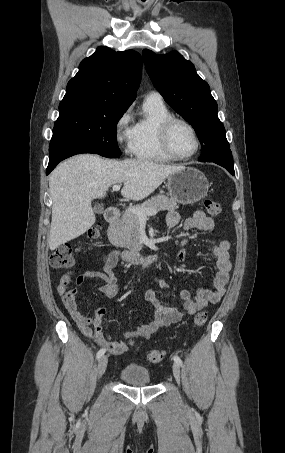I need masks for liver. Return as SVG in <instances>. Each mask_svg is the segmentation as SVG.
I'll use <instances>...</instances> for the list:
<instances>
[{
	"label": "liver",
	"instance_id": "1",
	"mask_svg": "<svg viewBox=\"0 0 285 453\" xmlns=\"http://www.w3.org/2000/svg\"><path fill=\"white\" fill-rule=\"evenodd\" d=\"M181 167L140 159L117 161L93 154L77 155L60 163L49 177L50 250L81 236L95 223L91 202L103 198L112 185L123 183L122 196L139 201Z\"/></svg>",
	"mask_w": 285,
	"mask_h": 453
}]
</instances>
